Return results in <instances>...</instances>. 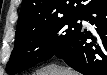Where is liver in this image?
I'll use <instances>...</instances> for the list:
<instances>
[{
  "label": "liver",
  "mask_w": 107,
  "mask_h": 75,
  "mask_svg": "<svg viewBox=\"0 0 107 75\" xmlns=\"http://www.w3.org/2000/svg\"><path fill=\"white\" fill-rule=\"evenodd\" d=\"M44 75H76V72L68 68L51 67L49 70L44 72Z\"/></svg>",
  "instance_id": "obj_1"
}]
</instances>
